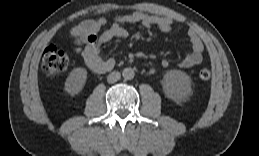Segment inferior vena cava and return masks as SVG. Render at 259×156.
Instances as JSON below:
<instances>
[{"mask_svg": "<svg viewBox=\"0 0 259 156\" xmlns=\"http://www.w3.org/2000/svg\"><path fill=\"white\" fill-rule=\"evenodd\" d=\"M120 77H121L120 72H118V71H113L112 73H110V74L108 75L107 81H108L109 83H115V82H117V81L120 79Z\"/></svg>", "mask_w": 259, "mask_h": 156, "instance_id": "1", "label": "inferior vena cava"}]
</instances>
